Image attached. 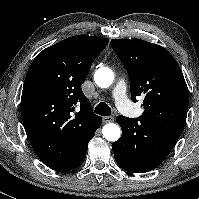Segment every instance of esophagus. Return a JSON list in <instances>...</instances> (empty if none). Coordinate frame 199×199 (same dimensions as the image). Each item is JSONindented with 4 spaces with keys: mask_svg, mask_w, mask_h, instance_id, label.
<instances>
[{
    "mask_svg": "<svg viewBox=\"0 0 199 199\" xmlns=\"http://www.w3.org/2000/svg\"><path fill=\"white\" fill-rule=\"evenodd\" d=\"M113 121H114V117L113 116L103 117V122L104 123L113 122Z\"/></svg>",
    "mask_w": 199,
    "mask_h": 199,
    "instance_id": "34e87169",
    "label": "esophagus"
}]
</instances>
